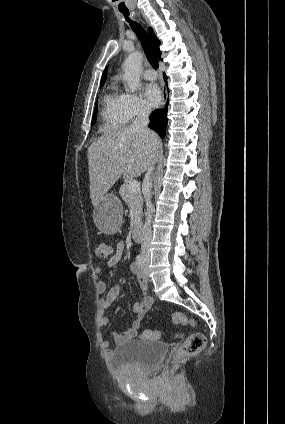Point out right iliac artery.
Returning a JSON list of instances; mask_svg holds the SVG:
<instances>
[{"label": "right iliac artery", "mask_w": 285, "mask_h": 424, "mask_svg": "<svg viewBox=\"0 0 285 424\" xmlns=\"http://www.w3.org/2000/svg\"><path fill=\"white\" fill-rule=\"evenodd\" d=\"M142 262H143V257H142V255H141V254L137 255V257H136V263H137L139 266H141V265H142Z\"/></svg>", "instance_id": "right-iliac-artery-1"}]
</instances>
